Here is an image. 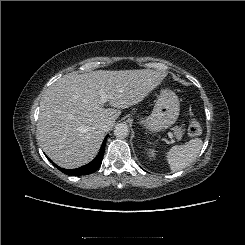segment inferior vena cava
<instances>
[{
    "label": "inferior vena cava",
    "instance_id": "obj_1",
    "mask_svg": "<svg viewBox=\"0 0 245 245\" xmlns=\"http://www.w3.org/2000/svg\"><path fill=\"white\" fill-rule=\"evenodd\" d=\"M115 121L112 119H105L100 123V128L104 131L107 132L113 125Z\"/></svg>",
    "mask_w": 245,
    "mask_h": 245
}]
</instances>
